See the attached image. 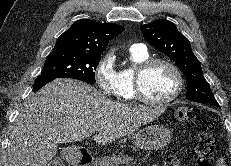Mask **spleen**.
Masks as SVG:
<instances>
[{"label":"spleen","instance_id":"obj_1","mask_svg":"<svg viewBox=\"0 0 231 166\" xmlns=\"http://www.w3.org/2000/svg\"><path fill=\"white\" fill-rule=\"evenodd\" d=\"M219 162L221 163V165H224V161L223 160H220ZM219 166H220V164H219Z\"/></svg>","mask_w":231,"mask_h":166}]
</instances>
